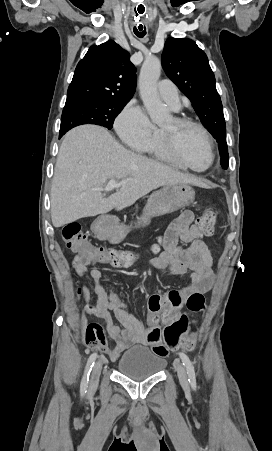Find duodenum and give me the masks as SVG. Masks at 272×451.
Wrapping results in <instances>:
<instances>
[{
	"instance_id": "410a0bca",
	"label": "duodenum",
	"mask_w": 272,
	"mask_h": 451,
	"mask_svg": "<svg viewBox=\"0 0 272 451\" xmlns=\"http://www.w3.org/2000/svg\"><path fill=\"white\" fill-rule=\"evenodd\" d=\"M93 232L100 239H106L108 237V230L105 221L99 219L93 225Z\"/></svg>"
}]
</instances>
